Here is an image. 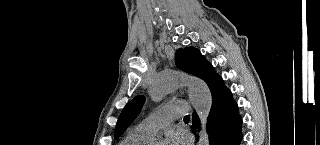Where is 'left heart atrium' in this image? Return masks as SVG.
Wrapping results in <instances>:
<instances>
[{"label":"left heart atrium","instance_id":"39dd6f15","mask_svg":"<svg viewBox=\"0 0 320 145\" xmlns=\"http://www.w3.org/2000/svg\"><path fill=\"white\" fill-rule=\"evenodd\" d=\"M169 145H188L189 138L183 131L173 132L168 137Z\"/></svg>","mask_w":320,"mask_h":145}]
</instances>
